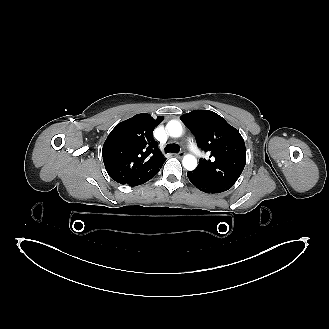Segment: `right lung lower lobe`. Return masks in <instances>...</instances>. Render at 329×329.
Masks as SVG:
<instances>
[{
  "label": "right lung lower lobe",
  "instance_id": "obj_1",
  "mask_svg": "<svg viewBox=\"0 0 329 329\" xmlns=\"http://www.w3.org/2000/svg\"><path fill=\"white\" fill-rule=\"evenodd\" d=\"M159 172V168L156 170V171H154L149 177H147L146 179H144V180H142L139 184H137V185H140V184H142V183H145V182H147L148 180H150V179H152L157 173ZM136 186V185H135Z\"/></svg>",
  "mask_w": 329,
  "mask_h": 329
}]
</instances>
